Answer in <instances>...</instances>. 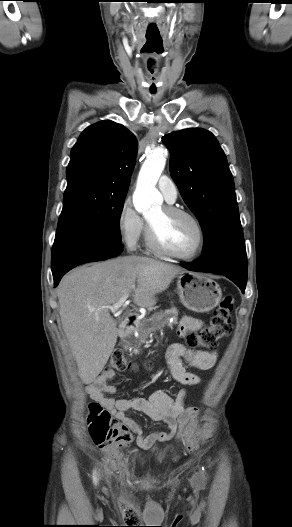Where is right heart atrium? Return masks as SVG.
<instances>
[{
    "label": "right heart atrium",
    "mask_w": 292,
    "mask_h": 527,
    "mask_svg": "<svg viewBox=\"0 0 292 527\" xmlns=\"http://www.w3.org/2000/svg\"><path fill=\"white\" fill-rule=\"evenodd\" d=\"M121 240L130 250H135L145 230L143 218L136 212L131 201H123L117 218Z\"/></svg>",
    "instance_id": "obj_1"
}]
</instances>
